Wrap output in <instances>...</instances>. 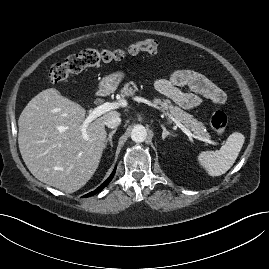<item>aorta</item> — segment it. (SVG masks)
<instances>
[{
	"label": "aorta",
	"mask_w": 269,
	"mask_h": 269,
	"mask_svg": "<svg viewBox=\"0 0 269 269\" xmlns=\"http://www.w3.org/2000/svg\"><path fill=\"white\" fill-rule=\"evenodd\" d=\"M147 131L144 126L136 125L131 131V139L136 143H141L146 140Z\"/></svg>",
	"instance_id": "762f6f07"
}]
</instances>
